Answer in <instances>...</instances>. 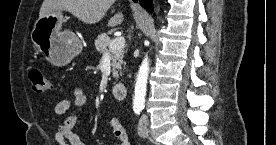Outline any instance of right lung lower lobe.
<instances>
[{
    "instance_id": "1",
    "label": "right lung lower lobe",
    "mask_w": 276,
    "mask_h": 145,
    "mask_svg": "<svg viewBox=\"0 0 276 145\" xmlns=\"http://www.w3.org/2000/svg\"><path fill=\"white\" fill-rule=\"evenodd\" d=\"M134 2H137L138 0H133ZM142 7L149 10L150 12L153 11V4L152 0H139Z\"/></svg>"
}]
</instances>
